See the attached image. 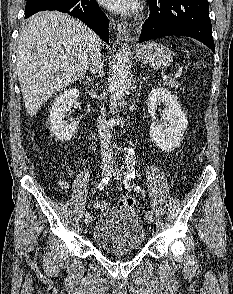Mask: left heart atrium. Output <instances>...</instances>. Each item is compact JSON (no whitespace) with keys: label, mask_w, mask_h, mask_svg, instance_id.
Masks as SVG:
<instances>
[{"label":"left heart atrium","mask_w":233,"mask_h":294,"mask_svg":"<svg viewBox=\"0 0 233 294\" xmlns=\"http://www.w3.org/2000/svg\"><path fill=\"white\" fill-rule=\"evenodd\" d=\"M103 6L120 13H131L137 10V0H98Z\"/></svg>","instance_id":"left-heart-atrium-1"}]
</instances>
